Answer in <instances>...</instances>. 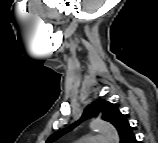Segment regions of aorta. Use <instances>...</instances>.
I'll return each mask as SVG.
<instances>
[{
  "label": "aorta",
  "instance_id": "aorta-1",
  "mask_svg": "<svg viewBox=\"0 0 158 143\" xmlns=\"http://www.w3.org/2000/svg\"><path fill=\"white\" fill-rule=\"evenodd\" d=\"M90 127L103 134L110 143L119 142L118 132L112 124L101 119H96L90 124Z\"/></svg>",
  "mask_w": 158,
  "mask_h": 143
}]
</instances>
